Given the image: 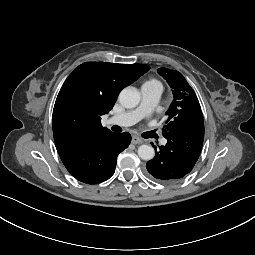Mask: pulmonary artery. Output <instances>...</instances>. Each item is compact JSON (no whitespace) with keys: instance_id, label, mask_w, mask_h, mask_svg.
<instances>
[{"instance_id":"obj_1","label":"pulmonary artery","mask_w":255,"mask_h":255,"mask_svg":"<svg viewBox=\"0 0 255 255\" xmlns=\"http://www.w3.org/2000/svg\"><path fill=\"white\" fill-rule=\"evenodd\" d=\"M161 92L162 87L160 84H144L141 88L142 99L140 105L136 109L111 117L109 123L124 127L137 123L153 111L160 98ZM166 142L167 141L165 139L161 141L162 144H166Z\"/></svg>"}]
</instances>
